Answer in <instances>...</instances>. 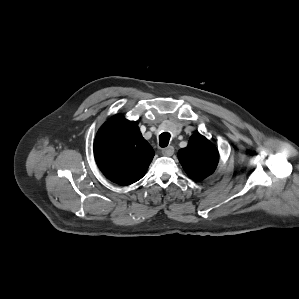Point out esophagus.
<instances>
[{
	"label": "esophagus",
	"mask_w": 299,
	"mask_h": 299,
	"mask_svg": "<svg viewBox=\"0 0 299 299\" xmlns=\"http://www.w3.org/2000/svg\"><path fill=\"white\" fill-rule=\"evenodd\" d=\"M174 154V147L168 146L164 149H162V155L164 156H172Z\"/></svg>",
	"instance_id": "esophagus-1"
}]
</instances>
